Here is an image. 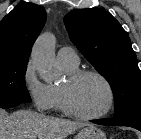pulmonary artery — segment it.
<instances>
[{"mask_svg": "<svg viewBox=\"0 0 141 139\" xmlns=\"http://www.w3.org/2000/svg\"><path fill=\"white\" fill-rule=\"evenodd\" d=\"M57 62L65 66H78L79 57L71 47H62L57 52Z\"/></svg>", "mask_w": 141, "mask_h": 139, "instance_id": "pulmonary-artery-1", "label": "pulmonary artery"}]
</instances>
